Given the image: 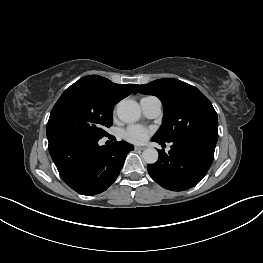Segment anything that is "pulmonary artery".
<instances>
[{
  "label": "pulmonary artery",
  "mask_w": 263,
  "mask_h": 263,
  "mask_svg": "<svg viewBox=\"0 0 263 263\" xmlns=\"http://www.w3.org/2000/svg\"><path fill=\"white\" fill-rule=\"evenodd\" d=\"M142 112L146 118L155 119L161 115L162 104L155 96H146L140 100Z\"/></svg>",
  "instance_id": "e3ab8cb5"
}]
</instances>
